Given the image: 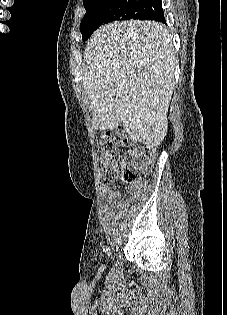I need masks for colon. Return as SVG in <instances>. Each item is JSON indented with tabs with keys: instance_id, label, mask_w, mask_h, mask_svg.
Wrapping results in <instances>:
<instances>
[{
	"instance_id": "1",
	"label": "colon",
	"mask_w": 227,
	"mask_h": 315,
	"mask_svg": "<svg viewBox=\"0 0 227 315\" xmlns=\"http://www.w3.org/2000/svg\"><path fill=\"white\" fill-rule=\"evenodd\" d=\"M99 145L102 151L98 164L100 182L109 184L119 173L125 182L139 189L153 168L156 148L127 137L120 127L105 131L99 138ZM121 147L128 148L123 156L119 153Z\"/></svg>"
}]
</instances>
